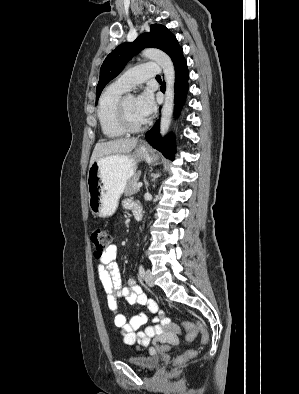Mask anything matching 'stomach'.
I'll return each instance as SVG.
<instances>
[{
	"mask_svg": "<svg viewBox=\"0 0 299 394\" xmlns=\"http://www.w3.org/2000/svg\"><path fill=\"white\" fill-rule=\"evenodd\" d=\"M152 161L149 151L138 147L134 154L109 155L95 160L87 175L88 202L93 215L109 217L118 207L121 194L129 179L136 173L137 163Z\"/></svg>",
	"mask_w": 299,
	"mask_h": 394,
	"instance_id": "stomach-1",
	"label": "stomach"
}]
</instances>
